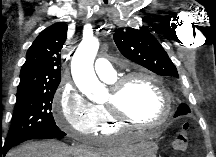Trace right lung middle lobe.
Instances as JSON below:
<instances>
[{"label":"right lung middle lobe","instance_id":"right-lung-middle-lobe-1","mask_svg":"<svg viewBox=\"0 0 216 157\" xmlns=\"http://www.w3.org/2000/svg\"><path fill=\"white\" fill-rule=\"evenodd\" d=\"M56 89L31 91L17 97L4 146L19 143L35 134L59 130L51 112Z\"/></svg>","mask_w":216,"mask_h":157}]
</instances>
